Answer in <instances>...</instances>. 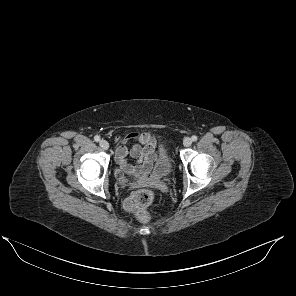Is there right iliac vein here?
<instances>
[{
	"instance_id": "63e3f726",
	"label": "right iliac vein",
	"mask_w": 296,
	"mask_h": 296,
	"mask_svg": "<svg viewBox=\"0 0 296 296\" xmlns=\"http://www.w3.org/2000/svg\"><path fill=\"white\" fill-rule=\"evenodd\" d=\"M99 144L104 150H107L109 148V143L106 140H101Z\"/></svg>"
}]
</instances>
